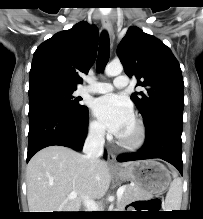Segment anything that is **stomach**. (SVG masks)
I'll use <instances>...</instances> for the list:
<instances>
[{
	"label": "stomach",
	"mask_w": 203,
	"mask_h": 219,
	"mask_svg": "<svg viewBox=\"0 0 203 219\" xmlns=\"http://www.w3.org/2000/svg\"><path fill=\"white\" fill-rule=\"evenodd\" d=\"M122 180H130L148 197L164 192L171 184L169 170L156 160L132 162L124 168L113 171Z\"/></svg>",
	"instance_id": "stomach-1"
}]
</instances>
